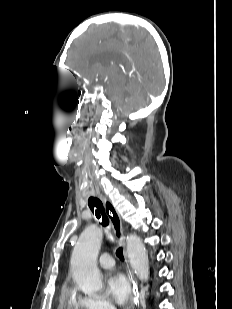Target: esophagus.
<instances>
[{"label":"esophagus","instance_id":"34e87169","mask_svg":"<svg viewBox=\"0 0 232 309\" xmlns=\"http://www.w3.org/2000/svg\"><path fill=\"white\" fill-rule=\"evenodd\" d=\"M102 201L104 203L106 213L110 219L115 237L118 240L121 247L123 248V254L125 257V261L128 265L127 249H126L125 237L123 234L122 221H121L120 215L117 209L115 208V206L111 203V201H109L105 197H102ZM128 269H129L128 276H129L130 282L132 283V290H133V298L131 300L129 309H134L137 306H139L140 301H141L140 290H139L138 282L135 279L133 272L130 270L129 265H128Z\"/></svg>","mask_w":232,"mask_h":309}]
</instances>
